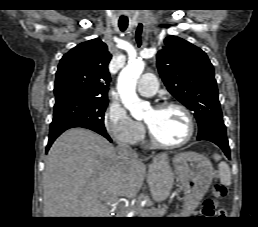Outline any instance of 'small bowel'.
<instances>
[{
	"label": "small bowel",
	"mask_w": 258,
	"mask_h": 227,
	"mask_svg": "<svg viewBox=\"0 0 258 227\" xmlns=\"http://www.w3.org/2000/svg\"><path fill=\"white\" fill-rule=\"evenodd\" d=\"M201 213L202 215H213L214 213H216L214 209V204L211 200L206 199L204 201V206ZM217 213L220 215L223 213V210H218Z\"/></svg>",
	"instance_id": "obj_1"
}]
</instances>
